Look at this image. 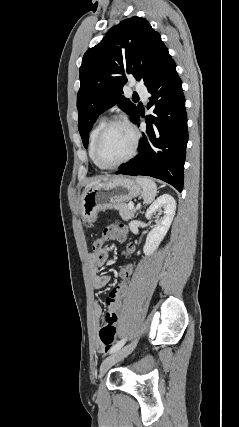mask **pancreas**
I'll use <instances>...</instances> for the list:
<instances>
[{"label": "pancreas", "instance_id": "cf45deb5", "mask_svg": "<svg viewBox=\"0 0 239 427\" xmlns=\"http://www.w3.org/2000/svg\"><path fill=\"white\" fill-rule=\"evenodd\" d=\"M113 208L119 211L121 218L125 221L131 220L136 212V209H130L126 203L115 204Z\"/></svg>", "mask_w": 239, "mask_h": 427}]
</instances>
